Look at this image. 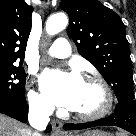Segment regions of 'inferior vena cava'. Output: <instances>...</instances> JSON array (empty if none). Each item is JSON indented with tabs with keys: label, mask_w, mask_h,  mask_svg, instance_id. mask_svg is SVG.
Returning a JSON list of instances; mask_svg holds the SVG:
<instances>
[{
	"label": "inferior vena cava",
	"mask_w": 136,
	"mask_h": 136,
	"mask_svg": "<svg viewBox=\"0 0 136 136\" xmlns=\"http://www.w3.org/2000/svg\"><path fill=\"white\" fill-rule=\"evenodd\" d=\"M54 108L43 103H35L30 105L28 120L32 127L38 131H42L46 128L49 122V115L53 113ZM33 136H40L38 132H35Z\"/></svg>",
	"instance_id": "1"
}]
</instances>
